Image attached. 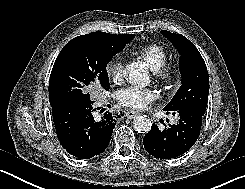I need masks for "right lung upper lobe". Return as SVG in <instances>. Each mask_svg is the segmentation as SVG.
<instances>
[{"mask_svg":"<svg viewBox=\"0 0 245 189\" xmlns=\"http://www.w3.org/2000/svg\"><path fill=\"white\" fill-rule=\"evenodd\" d=\"M134 36V34L116 35L99 31L78 37L88 38L100 42L108 47L122 50L124 46L134 38Z\"/></svg>","mask_w":245,"mask_h":189,"instance_id":"obj_1","label":"right lung upper lobe"}]
</instances>
